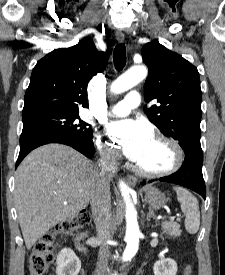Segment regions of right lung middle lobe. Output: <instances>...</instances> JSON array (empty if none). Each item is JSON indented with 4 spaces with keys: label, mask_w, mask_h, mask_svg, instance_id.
I'll return each instance as SVG.
<instances>
[{
    "label": "right lung middle lobe",
    "mask_w": 225,
    "mask_h": 275,
    "mask_svg": "<svg viewBox=\"0 0 225 275\" xmlns=\"http://www.w3.org/2000/svg\"><path fill=\"white\" fill-rule=\"evenodd\" d=\"M23 131L42 129L60 132L81 140H92L91 126L76 111H48L22 116Z\"/></svg>",
    "instance_id": "dd1d6c3e"
}]
</instances>
